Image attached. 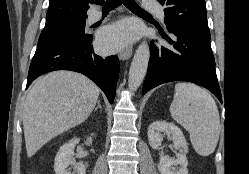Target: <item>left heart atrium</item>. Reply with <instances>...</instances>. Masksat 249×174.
<instances>
[{"mask_svg": "<svg viewBox=\"0 0 249 174\" xmlns=\"http://www.w3.org/2000/svg\"><path fill=\"white\" fill-rule=\"evenodd\" d=\"M137 24L130 20L120 21L106 27L99 35V47L106 51H116L139 35Z\"/></svg>", "mask_w": 249, "mask_h": 174, "instance_id": "1", "label": "left heart atrium"}]
</instances>
